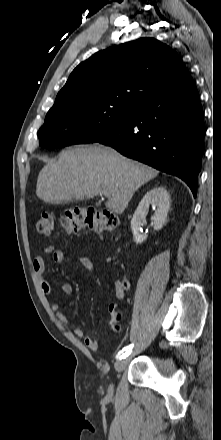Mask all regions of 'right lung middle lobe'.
I'll use <instances>...</instances> for the list:
<instances>
[{
	"instance_id": "right-lung-middle-lobe-1",
	"label": "right lung middle lobe",
	"mask_w": 221,
	"mask_h": 440,
	"mask_svg": "<svg viewBox=\"0 0 221 440\" xmlns=\"http://www.w3.org/2000/svg\"><path fill=\"white\" fill-rule=\"evenodd\" d=\"M133 110L117 103L73 104L49 110L38 132L40 146L54 149L98 142L124 124Z\"/></svg>"
}]
</instances>
